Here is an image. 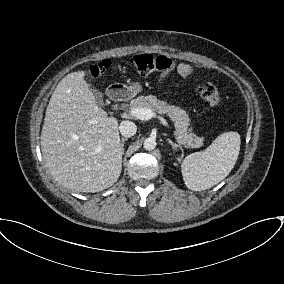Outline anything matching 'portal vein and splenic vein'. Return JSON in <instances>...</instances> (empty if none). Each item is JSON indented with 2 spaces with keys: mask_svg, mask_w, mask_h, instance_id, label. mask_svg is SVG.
Listing matches in <instances>:
<instances>
[{
  "mask_svg": "<svg viewBox=\"0 0 284 284\" xmlns=\"http://www.w3.org/2000/svg\"><path fill=\"white\" fill-rule=\"evenodd\" d=\"M129 113L136 117L137 119L140 120H149L151 118H158L160 120V123L163 124L166 127H169L167 121L162 117V116H157L152 110L150 109H146V108H131V110L129 111Z\"/></svg>",
  "mask_w": 284,
  "mask_h": 284,
  "instance_id": "18ae733b",
  "label": "portal vein and splenic vein"
}]
</instances>
